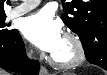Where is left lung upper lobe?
<instances>
[{
    "label": "left lung upper lobe",
    "instance_id": "left-lung-upper-lobe-1",
    "mask_svg": "<svg viewBox=\"0 0 107 75\" xmlns=\"http://www.w3.org/2000/svg\"><path fill=\"white\" fill-rule=\"evenodd\" d=\"M62 2V20L79 36L86 57L94 52L99 41L107 44V0Z\"/></svg>",
    "mask_w": 107,
    "mask_h": 75
}]
</instances>
